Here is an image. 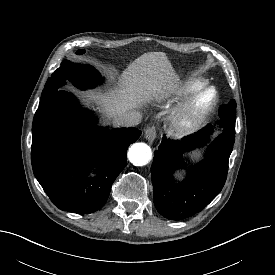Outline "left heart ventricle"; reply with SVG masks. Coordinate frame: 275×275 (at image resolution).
Here are the masks:
<instances>
[{
  "label": "left heart ventricle",
  "instance_id": "left-heart-ventricle-1",
  "mask_svg": "<svg viewBox=\"0 0 275 275\" xmlns=\"http://www.w3.org/2000/svg\"><path fill=\"white\" fill-rule=\"evenodd\" d=\"M210 98H211L210 94H206L199 97L195 103L194 113L198 114L202 112L205 109V107L208 105Z\"/></svg>",
  "mask_w": 275,
  "mask_h": 275
}]
</instances>
